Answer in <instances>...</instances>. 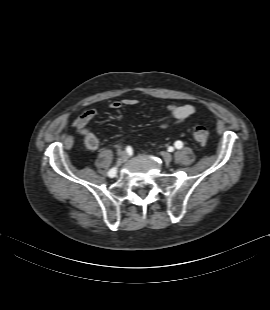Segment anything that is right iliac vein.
<instances>
[{"label":"right iliac vein","mask_w":270,"mask_h":310,"mask_svg":"<svg viewBox=\"0 0 270 310\" xmlns=\"http://www.w3.org/2000/svg\"><path fill=\"white\" fill-rule=\"evenodd\" d=\"M128 159V154L126 152H123L121 155V161H126Z\"/></svg>","instance_id":"63e3f726"}]
</instances>
